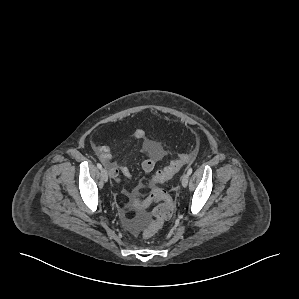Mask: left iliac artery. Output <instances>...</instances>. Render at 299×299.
Masks as SVG:
<instances>
[{
  "label": "left iliac artery",
  "mask_w": 299,
  "mask_h": 299,
  "mask_svg": "<svg viewBox=\"0 0 299 299\" xmlns=\"http://www.w3.org/2000/svg\"><path fill=\"white\" fill-rule=\"evenodd\" d=\"M192 168L190 167L188 170H187V173L190 175L192 173Z\"/></svg>",
  "instance_id": "obj_1"
}]
</instances>
